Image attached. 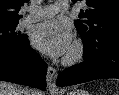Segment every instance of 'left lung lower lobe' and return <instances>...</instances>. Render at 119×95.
I'll list each match as a JSON object with an SVG mask.
<instances>
[{
	"mask_svg": "<svg viewBox=\"0 0 119 95\" xmlns=\"http://www.w3.org/2000/svg\"><path fill=\"white\" fill-rule=\"evenodd\" d=\"M83 59V63L67 68L59 74L57 86L119 78V41L84 46Z\"/></svg>",
	"mask_w": 119,
	"mask_h": 95,
	"instance_id": "left-lung-lower-lobe-1",
	"label": "left lung lower lobe"
}]
</instances>
